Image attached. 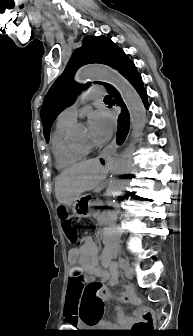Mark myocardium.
<instances>
[{"label":"myocardium","mask_w":193,"mask_h":336,"mask_svg":"<svg viewBox=\"0 0 193 336\" xmlns=\"http://www.w3.org/2000/svg\"><path fill=\"white\" fill-rule=\"evenodd\" d=\"M83 144L90 146V143L88 141L83 142Z\"/></svg>","instance_id":"obj_1"}]
</instances>
